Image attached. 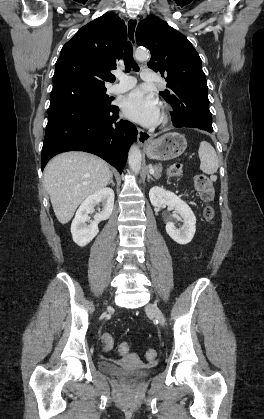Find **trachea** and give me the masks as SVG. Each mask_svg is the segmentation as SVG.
I'll return each mask as SVG.
<instances>
[{"label": "trachea", "instance_id": "trachea-1", "mask_svg": "<svg viewBox=\"0 0 264 419\" xmlns=\"http://www.w3.org/2000/svg\"><path fill=\"white\" fill-rule=\"evenodd\" d=\"M123 58L126 72H130L131 68H133L135 71H139V67L133 58V49L130 42H127L126 44Z\"/></svg>", "mask_w": 264, "mask_h": 419}]
</instances>
